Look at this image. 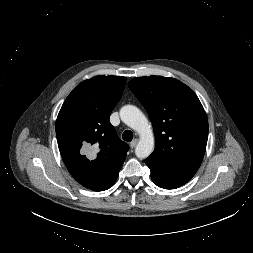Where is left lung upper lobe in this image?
<instances>
[{
    "mask_svg": "<svg viewBox=\"0 0 253 253\" xmlns=\"http://www.w3.org/2000/svg\"><path fill=\"white\" fill-rule=\"evenodd\" d=\"M128 86L153 125L156 145L148 159L193 177L208 139L207 115L197 95L181 81L163 76L137 77Z\"/></svg>",
    "mask_w": 253,
    "mask_h": 253,
    "instance_id": "left-lung-upper-lobe-1",
    "label": "left lung upper lobe"
}]
</instances>
